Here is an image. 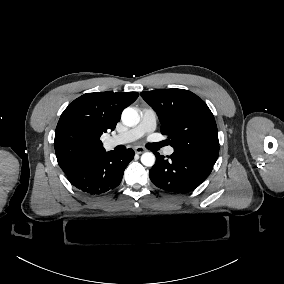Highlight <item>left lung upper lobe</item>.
<instances>
[{
  "mask_svg": "<svg viewBox=\"0 0 284 284\" xmlns=\"http://www.w3.org/2000/svg\"><path fill=\"white\" fill-rule=\"evenodd\" d=\"M161 122V132L171 139L174 153L215 164L219 154L218 131L206 103L184 89L141 92Z\"/></svg>",
  "mask_w": 284,
  "mask_h": 284,
  "instance_id": "left-lung-upper-lobe-1",
  "label": "left lung upper lobe"
}]
</instances>
